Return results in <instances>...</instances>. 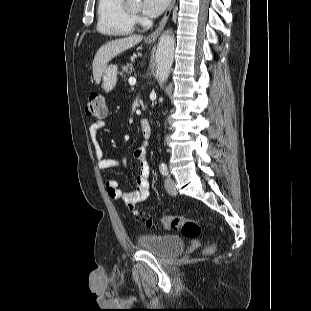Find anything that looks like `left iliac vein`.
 <instances>
[{
  "mask_svg": "<svg viewBox=\"0 0 311 311\" xmlns=\"http://www.w3.org/2000/svg\"><path fill=\"white\" fill-rule=\"evenodd\" d=\"M165 189L172 196H175L177 194L175 183L170 176H167L165 179Z\"/></svg>",
  "mask_w": 311,
  "mask_h": 311,
  "instance_id": "1",
  "label": "left iliac vein"
}]
</instances>
